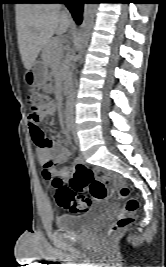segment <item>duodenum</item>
Returning a JSON list of instances; mask_svg holds the SVG:
<instances>
[{
	"label": "duodenum",
	"mask_w": 166,
	"mask_h": 267,
	"mask_svg": "<svg viewBox=\"0 0 166 267\" xmlns=\"http://www.w3.org/2000/svg\"><path fill=\"white\" fill-rule=\"evenodd\" d=\"M68 84H69V80L68 78H63L62 81H61V85H60V91H61V94H65L66 91H67V88H68Z\"/></svg>",
	"instance_id": "1"
}]
</instances>
